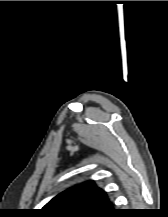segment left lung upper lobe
I'll list each match as a JSON object with an SVG mask.
<instances>
[{
    "label": "left lung upper lobe",
    "instance_id": "obj_1",
    "mask_svg": "<svg viewBox=\"0 0 168 217\" xmlns=\"http://www.w3.org/2000/svg\"><path fill=\"white\" fill-rule=\"evenodd\" d=\"M111 207L106 192L89 180L61 192L40 211L46 217H100Z\"/></svg>",
    "mask_w": 168,
    "mask_h": 217
}]
</instances>
